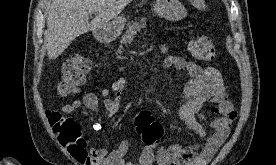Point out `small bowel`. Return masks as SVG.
I'll list each match as a JSON object with an SVG mask.
<instances>
[{
  "instance_id": "c3829d8e",
  "label": "small bowel",
  "mask_w": 276,
  "mask_h": 165,
  "mask_svg": "<svg viewBox=\"0 0 276 165\" xmlns=\"http://www.w3.org/2000/svg\"><path fill=\"white\" fill-rule=\"evenodd\" d=\"M166 69L174 68L185 72L189 80L182 91V102L179 106L180 119L201 137L206 132L199 120H204L203 109L211 104V112L217 118L211 122L213 133L206 137L204 146L198 150L195 146L182 147L171 145L160 147L154 152L152 146H144L135 162L126 159L129 152V141L124 139L115 149L91 146L88 148L87 140L82 136L81 146H67L71 155L82 165H207L219 147L227 139L232 124L237 117L233 105L229 102L225 91L223 79L218 69L213 66H200L187 61L180 56H168L163 62ZM127 81L119 78L110 86L103 88L100 95L103 105L110 116L115 115L120 107V99L126 89ZM114 95V97H112ZM84 107L85 113L95 112L99 108V98L94 92L84 94L82 100H74L61 109V114L70 115ZM52 111L48 112V116ZM92 128L100 130L102 124L94 123Z\"/></svg>"
}]
</instances>
